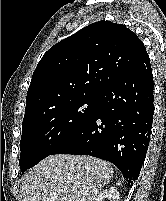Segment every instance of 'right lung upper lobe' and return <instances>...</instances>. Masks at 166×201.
Returning a JSON list of instances; mask_svg holds the SVG:
<instances>
[{"label": "right lung upper lobe", "instance_id": "cb5924a9", "mask_svg": "<svg viewBox=\"0 0 166 201\" xmlns=\"http://www.w3.org/2000/svg\"><path fill=\"white\" fill-rule=\"evenodd\" d=\"M146 48L122 24L98 21L51 47L28 88L24 117L84 96H98L130 70Z\"/></svg>", "mask_w": 166, "mask_h": 201}]
</instances>
